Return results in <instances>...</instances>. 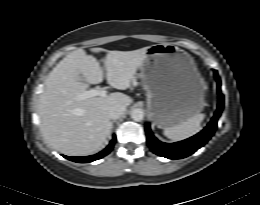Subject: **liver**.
<instances>
[{
    "label": "liver",
    "mask_w": 260,
    "mask_h": 205,
    "mask_svg": "<svg viewBox=\"0 0 260 205\" xmlns=\"http://www.w3.org/2000/svg\"><path fill=\"white\" fill-rule=\"evenodd\" d=\"M147 49L107 51L93 48L91 51L107 53L104 61L107 83L125 90L131 87ZM103 77L100 64L83 49L68 54L49 73L39 98L38 114L43 137L54 149L70 156L95 153L111 133L109 109L116 105L126 108L132 103V98L121 92L76 99L90 84L101 83Z\"/></svg>",
    "instance_id": "obj_1"
}]
</instances>
